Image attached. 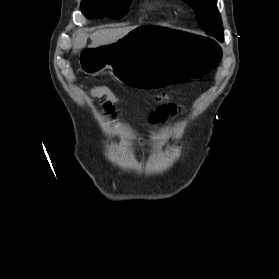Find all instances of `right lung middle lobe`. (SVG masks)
<instances>
[{
	"label": "right lung middle lobe",
	"instance_id": "right-lung-middle-lobe-1",
	"mask_svg": "<svg viewBox=\"0 0 279 279\" xmlns=\"http://www.w3.org/2000/svg\"><path fill=\"white\" fill-rule=\"evenodd\" d=\"M132 0H82V13L87 17H109L117 19L128 10Z\"/></svg>",
	"mask_w": 279,
	"mask_h": 279
}]
</instances>
